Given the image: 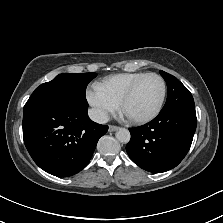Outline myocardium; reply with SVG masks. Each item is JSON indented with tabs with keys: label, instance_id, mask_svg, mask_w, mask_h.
<instances>
[{
	"label": "myocardium",
	"instance_id": "1",
	"mask_svg": "<svg viewBox=\"0 0 223 223\" xmlns=\"http://www.w3.org/2000/svg\"><path fill=\"white\" fill-rule=\"evenodd\" d=\"M148 77H156L157 79H159L160 83H161V95H160V99L159 102L156 106V108L153 110V112H151L149 115L144 116V117H130V116H126L122 113L121 108L128 102V100L133 96V94L135 93V91L137 90V88L139 87V85ZM165 97H166V83L164 81V79L156 74V73H147L144 76H142L141 78H139L128 90L127 92L122 96V98L119 100V114L120 115H124L128 120L134 122V123H139V124H143V123H147L152 121L154 118H156L158 116V114L160 113L164 101H165Z\"/></svg>",
	"mask_w": 223,
	"mask_h": 223
}]
</instances>
